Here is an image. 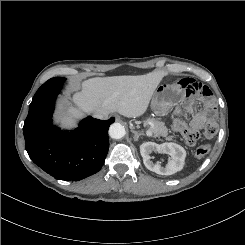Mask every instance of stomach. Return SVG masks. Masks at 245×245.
I'll use <instances>...</instances> for the list:
<instances>
[{"mask_svg": "<svg viewBox=\"0 0 245 245\" xmlns=\"http://www.w3.org/2000/svg\"><path fill=\"white\" fill-rule=\"evenodd\" d=\"M182 93L176 92L174 86L168 82H163L156 88L151 107L156 115L164 116L169 113L170 109L176 106L174 114L181 115L183 113L179 103L182 99Z\"/></svg>", "mask_w": 245, "mask_h": 245, "instance_id": "0dacf381", "label": "stomach"}]
</instances>
